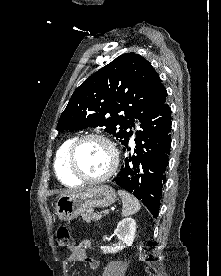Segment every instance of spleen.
Returning <instances> with one entry per match:
<instances>
[{
    "mask_svg": "<svg viewBox=\"0 0 221 276\" xmlns=\"http://www.w3.org/2000/svg\"><path fill=\"white\" fill-rule=\"evenodd\" d=\"M118 194L122 199L123 207H122V216L127 217L137 213L141 205L139 201L130 193L124 190H118Z\"/></svg>",
    "mask_w": 221,
    "mask_h": 276,
    "instance_id": "3e777b00",
    "label": "spleen"
}]
</instances>
